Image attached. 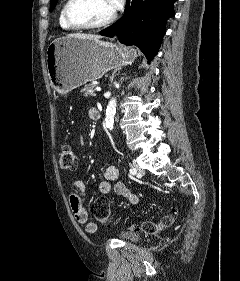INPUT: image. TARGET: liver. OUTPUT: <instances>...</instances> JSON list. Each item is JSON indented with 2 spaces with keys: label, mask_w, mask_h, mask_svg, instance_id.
<instances>
[{
  "label": "liver",
  "mask_w": 240,
  "mask_h": 281,
  "mask_svg": "<svg viewBox=\"0 0 240 281\" xmlns=\"http://www.w3.org/2000/svg\"><path fill=\"white\" fill-rule=\"evenodd\" d=\"M67 37H78V38L90 39L95 41H99L101 38L98 35H90V34H83V33L70 34Z\"/></svg>",
  "instance_id": "liver-1"
}]
</instances>
